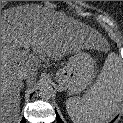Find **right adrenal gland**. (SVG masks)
<instances>
[{
  "mask_svg": "<svg viewBox=\"0 0 123 123\" xmlns=\"http://www.w3.org/2000/svg\"><path fill=\"white\" fill-rule=\"evenodd\" d=\"M24 89V84H23V86H22V89L21 90H23Z\"/></svg>",
  "mask_w": 123,
  "mask_h": 123,
  "instance_id": "1",
  "label": "right adrenal gland"
}]
</instances>
